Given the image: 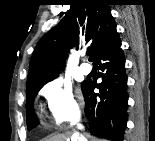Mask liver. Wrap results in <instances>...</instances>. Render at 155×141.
Returning a JSON list of instances; mask_svg holds the SVG:
<instances>
[{
	"instance_id": "liver-1",
	"label": "liver",
	"mask_w": 155,
	"mask_h": 141,
	"mask_svg": "<svg viewBox=\"0 0 155 141\" xmlns=\"http://www.w3.org/2000/svg\"><path fill=\"white\" fill-rule=\"evenodd\" d=\"M71 139H77V138L71 137ZM93 139H95V138H93ZM46 141H70V133L58 134L53 137H50ZM71 141H73V140H71Z\"/></svg>"
}]
</instances>
